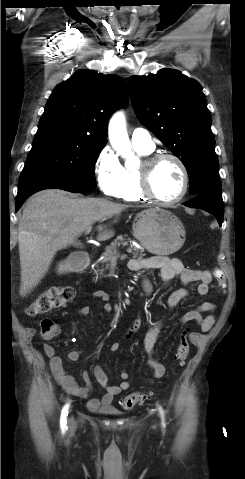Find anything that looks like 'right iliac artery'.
<instances>
[{"label": "right iliac artery", "mask_w": 245, "mask_h": 479, "mask_svg": "<svg viewBox=\"0 0 245 479\" xmlns=\"http://www.w3.org/2000/svg\"><path fill=\"white\" fill-rule=\"evenodd\" d=\"M69 406H70V404L67 403L61 411L60 428H61L62 433H65L66 430L68 429V427H67V415H68Z\"/></svg>", "instance_id": "obj_1"}]
</instances>
